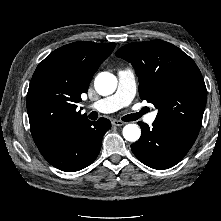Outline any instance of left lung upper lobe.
Here are the masks:
<instances>
[{"label":"left lung upper lobe","instance_id":"obj_1","mask_svg":"<svg viewBox=\"0 0 221 221\" xmlns=\"http://www.w3.org/2000/svg\"><path fill=\"white\" fill-rule=\"evenodd\" d=\"M116 56L133 65L140 97L158 108L157 120L200 130L207 90L192 58L162 40L127 44Z\"/></svg>","mask_w":221,"mask_h":221}]
</instances>
